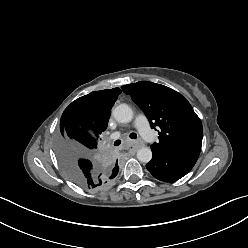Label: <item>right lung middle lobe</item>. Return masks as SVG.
Wrapping results in <instances>:
<instances>
[{
	"instance_id": "obj_1",
	"label": "right lung middle lobe",
	"mask_w": 248,
	"mask_h": 248,
	"mask_svg": "<svg viewBox=\"0 0 248 248\" xmlns=\"http://www.w3.org/2000/svg\"><path fill=\"white\" fill-rule=\"evenodd\" d=\"M72 141L87 143L86 137L74 124H61L57 151L66 175L83 188L99 190L107 187L117 174L112 173L109 165L100 157L83 151L78 145L70 146Z\"/></svg>"
}]
</instances>
